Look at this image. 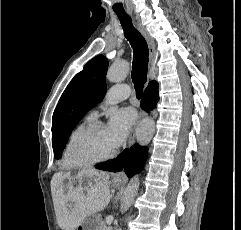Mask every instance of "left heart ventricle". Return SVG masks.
I'll use <instances>...</instances> for the list:
<instances>
[{"mask_svg":"<svg viewBox=\"0 0 241 230\" xmlns=\"http://www.w3.org/2000/svg\"><path fill=\"white\" fill-rule=\"evenodd\" d=\"M113 150L106 134V127L102 126L89 137L84 147V154L89 157H100Z\"/></svg>","mask_w":241,"mask_h":230,"instance_id":"left-heart-ventricle-1","label":"left heart ventricle"}]
</instances>
